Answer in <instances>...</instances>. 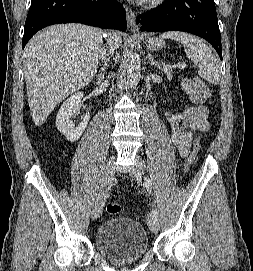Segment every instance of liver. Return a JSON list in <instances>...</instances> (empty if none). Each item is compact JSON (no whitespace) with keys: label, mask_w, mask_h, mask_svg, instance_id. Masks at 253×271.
I'll list each match as a JSON object with an SVG mask.
<instances>
[{"label":"liver","mask_w":253,"mask_h":271,"mask_svg":"<svg viewBox=\"0 0 253 271\" xmlns=\"http://www.w3.org/2000/svg\"><path fill=\"white\" fill-rule=\"evenodd\" d=\"M101 29L77 23L59 24L38 32L24 49L28 104L36 126L70 94L92 81L102 52ZM115 49L119 33L108 34Z\"/></svg>","instance_id":"liver-1"}]
</instances>
